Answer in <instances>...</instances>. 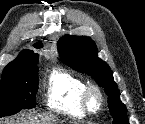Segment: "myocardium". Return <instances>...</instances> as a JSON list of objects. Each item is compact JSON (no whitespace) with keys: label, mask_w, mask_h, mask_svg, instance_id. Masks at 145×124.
Listing matches in <instances>:
<instances>
[{"label":"myocardium","mask_w":145,"mask_h":124,"mask_svg":"<svg viewBox=\"0 0 145 124\" xmlns=\"http://www.w3.org/2000/svg\"><path fill=\"white\" fill-rule=\"evenodd\" d=\"M104 104V94L99 86L91 84L86 87L82 96V106L86 114L95 115Z\"/></svg>","instance_id":"f54148a6"}]
</instances>
